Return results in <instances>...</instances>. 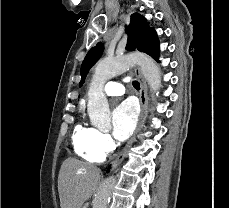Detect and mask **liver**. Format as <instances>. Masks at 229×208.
Instances as JSON below:
<instances>
[{
	"label": "liver",
	"instance_id": "liver-1",
	"mask_svg": "<svg viewBox=\"0 0 229 208\" xmlns=\"http://www.w3.org/2000/svg\"><path fill=\"white\" fill-rule=\"evenodd\" d=\"M102 176L99 168L67 158L61 166L58 178V192L61 208H82L92 198Z\"/></svg>",
	"mask_w": 229,
	"mask_h": 208
}]
</instances>
